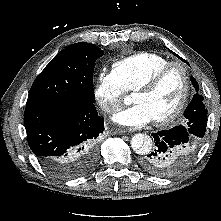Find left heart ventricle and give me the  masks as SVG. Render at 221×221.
Returning <instances> with one entry per match:
<instances>
[{
  "mask_svg": "<svg viewBox=\"0 0 221 221\" xmlns=\"http://www.w3.org/2000/svg\"><path fill=\"white\" fill-rule=\"evenodd\" d=\"M184 81L181 70L174 67L151 92L135 93L134 104L144 105L151 113L153 120L169 114L178 104L183 93Z\"/></svg>",
  "mask_w": 221,
  "mask_h": 221,
  "instance_id": "left-heart-ventricle-1",
  "label": "left heart ventricle"
}]
</instances>
